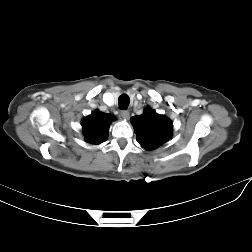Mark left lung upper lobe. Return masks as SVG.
<instances>
[{"instance_id": "left-lung-upper-lobe-1", "label": "left lung upper lobe", "mask_w": 252, "mask_h": 252, "mask_svg": "<svg viewBox=\"0 0 252 252\" xmlns=\"http://www.w3.org/2000/svg\"><path fill=\"white\" fill-rule=\"evenodd\" d=\"M136 140L147 150L156 149L172 135V121L150 107L144 113L131 118Z\"/></svg>"}]
</instances>
